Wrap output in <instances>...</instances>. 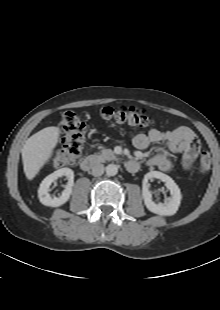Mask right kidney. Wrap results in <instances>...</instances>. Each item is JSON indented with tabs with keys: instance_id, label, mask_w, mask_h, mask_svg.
<instances>
[{
	"instance_id": "1",
	"label": "right kidney",
	"mask_w": 220,
	"mask_h": 310,
	"mask_svg": "<svg viewBox=\"0 0 220 310\" xmlns=\"http://www.w3.org/2000/svg\"><path fill=\"white\" fill-rule=\"evenodd\" d=\"M66 176L68 179V183L65 186L64 191L62 192L60 197H51L49 192V187L57 180L59 177ZM74 185V172L70 168H61L57 171H54L50 175H48L44 180L41 182L40 187L38 189V198L40 202L45 206L50 207H59L65 204L72 193V187Z\"/></svg>"
}]
</instances>
